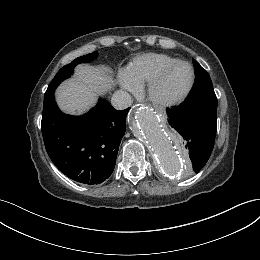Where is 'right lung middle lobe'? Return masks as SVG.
I'll return each instance as SVG.
<instances>
[{
    "mask_svg": "<svg viewBox=\"0 0 260 260\" xmlns=\"http://www.w3.org/2000/svg\"><path fill=\"white\" fill-rule=\"evenodd\" d=\"M98 56L97 52H93L81 57L74 59L70 64L61 68L58 73L55 75L51 83L49 84L47 91L55 90L56 87L65 79L69 78L72 75L74 67L79 63H86L94 60Z\"/></svg>",
    "mask_w": 260,
    "mask_h": 260,
    "instance_id": "obj_1",
    "label": "right lung middle lobe"
}]
</instances>
